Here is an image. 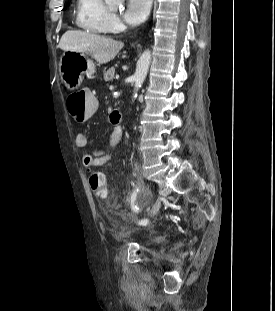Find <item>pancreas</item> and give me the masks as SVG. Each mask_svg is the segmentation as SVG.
I'll list each match as a JSON object with an SVG mask.
<instances>
[{"instance_id": "obj_1", "label": "pancreas", "mask_w": 275, "mask_h": 311, "mask_svg": "<svg viewBox=\"0 0 275 311\" xmlns=\"http://www.w3.org/2000/svg\"><path fill=\"white\" fill-rule=\"evenodd\" d=\"M114 74H115V68L111 67L104 73V80L108 82L111 81L114 78Z\"/></svg>"}]
</instances>
